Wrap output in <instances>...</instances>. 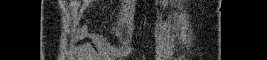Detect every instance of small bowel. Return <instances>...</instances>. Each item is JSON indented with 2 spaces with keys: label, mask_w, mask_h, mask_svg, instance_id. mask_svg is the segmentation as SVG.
Returning <instances> with one entry per match:
<instances>
[{
  "label": "small bowel",
  "mask_w": 267,
  "mask_h": 60,
  "mask_svg": "<svg viewBox=\"0 0 267 60\" xmlns=\"http://www.w3.org/2000/svg\"><path fill=\"white\" fill-rule=\"evenodd\" d=\"M79 36L87 37L96 44L100 43L104 39V37L99 35L98 33L90 31L86 25H84L79 31Z\"/></svg>",
  "instance_id": "obj_1"
}]
</instances>
